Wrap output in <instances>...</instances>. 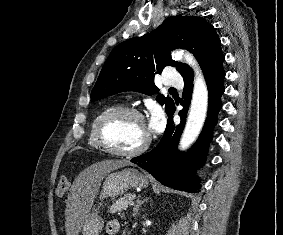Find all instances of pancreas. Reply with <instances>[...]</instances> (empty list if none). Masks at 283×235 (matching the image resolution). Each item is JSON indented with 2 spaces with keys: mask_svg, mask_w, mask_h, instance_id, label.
<instances>
[{
  "mask_svg": "<svg viewBox=\"0 0 283 235\" xmlns=\"http://www.w3.org/2000/svg\"><path fill=\"white\" fill-rule=\"evenodd\" d=\"M134 195L131 193L125 194L123 197H120L115 202L112 203L111 206H109V212L110 213H116V212H122L123 210H126L129 203L133 200Z\"/></svg>",
  "mask_w": 283,
  "mask_h": 235,
  "instance_id": "cf45deb5",
  "label": "pancreas"
}]
</instances>
